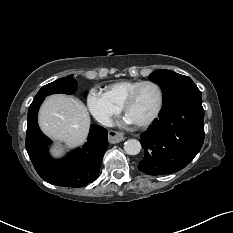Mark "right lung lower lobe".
Instances as JSON below:
<instances>
[{
    "label": "right lung lower lobe",
    "mask_w": 233,
    "mask_h": 233,
    "mask_svg": "<svg viewBox=\"0 0 233 233\" xmlns=\"http://www.w3.org/2000/svg\"><path fill=\"white\" fill-rule=\"evenodd\" d=\"M45 97L31 103L27 117L26 149L37 173L42 179L57 186L82 187L98 177L101 161L108 147L107 130L91 125L88 141L63 160H54L48 154L51 140L39 129L37 114Z\"/></svg>",
    "instance_id": "obj_1"
}]
</instances>
